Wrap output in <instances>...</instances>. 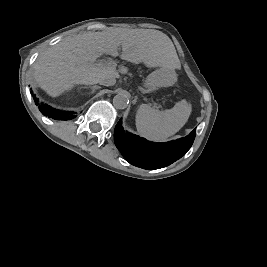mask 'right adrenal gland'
<instances>
[{
    "label": "right adrenal gland",
    "mask_w": 267,
    "mask_h": 267,
    "mask_svg": "<svg viewBox=\"0 0 267 267\" xmlns=\"http://www.w3.org/2000/svg\"><path fill=\"white\" fill-rule=\"evenodd\" d=\"M84 88H90L92 90L91 93H94L95 90L100 89L101 87L98 85H94V86H85Z\"/></svg>",
    "instance_id": "right-adrenal-gland-1"
}]
</instances>
